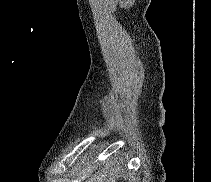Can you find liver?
Wrapping results in <instances>:
<instances>
[{"mask_svg": "<svg viewBox=\"0 0 211 182\" xmlns=\"http://www.w3.org/2000/svg\"><path fill=\"white\" fill-rule=\"evenodd\" d=\"M118 168L113 163L106 162V165L94 174L87 176L86 182H116Z\"/></svg>", "mask_w": 211, "mask_h": 182, "instance_id": "obj_1", "label": "liver"}]
</instances>
